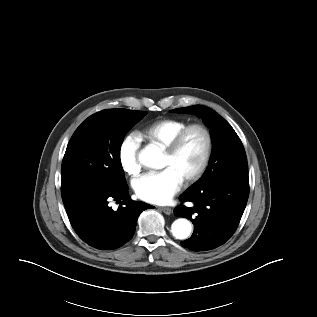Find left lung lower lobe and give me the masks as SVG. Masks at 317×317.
Masks as SVG:
<instances>
[{"instance_id": "0a47b994", "label": "left lung lower lobe", "mask_w": 317, "mask_h": 317, "mask_svg": "<svg viewBox=\"0 0 317 317\" xmlns=\"http://www.w3.org/2000/svg\"><path fill=\"white\" fill-rule=\"evenodd\" d=\"M248 195V176H233L186 190L180 195L181 204L174 213L190 220L193 218L194 232L182 245L193 251H206L224 244L240 222ZM184 202H192L193 207H186Z\"/></svg>"}]
</instances>
